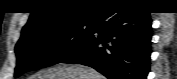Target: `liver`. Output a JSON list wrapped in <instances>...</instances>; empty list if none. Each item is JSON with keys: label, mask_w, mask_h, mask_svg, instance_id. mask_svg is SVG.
Here are the masks:
<instances>
[{"label": "liver", "mask_w": 177, "mask_h": 79, "mask_svg": "<svg viewBox=\"0 0 177 79\" xmlns=\"http://www.w3.org/2000/svg\"><path fill=\"white\" fill-rule=\"evenodd\" d=\"M29 79H105V77L88 66L58 64L57 66L40 70Z\"/></svg>", "instance_id": "1"}]
</instances>
